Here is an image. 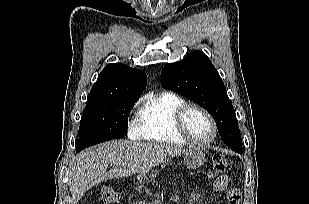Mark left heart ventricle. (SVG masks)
I'll return each instance as SVG.
<instances>
[{
    "label": "left heart ventricle",
    "instance_id": "left-heart-ventricle-1",
    "mask_svg": "<svg viewBox=\"0 0 309 204\" xmlns=\"http://www.w3.org/2000/svg\"><path fill=\"white\" fill-rule=\"evenodd\" d=\"M185 122L187 129L197 140L206 141L211 137L212 127L205 115L199 110H189Z\"/></svg>",
    "mask_w": 309,
    "mask_h": 204
}]
</instances>
